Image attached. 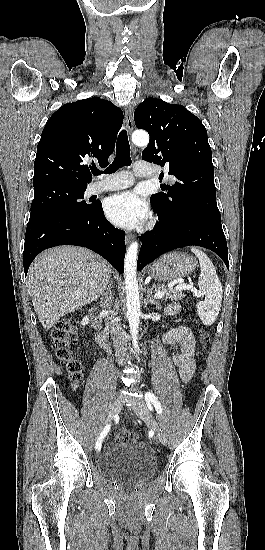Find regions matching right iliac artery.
I'll list each match as a JSON object with an SVG mask.
<instances>
[{
	"label": "right iliac artery",
	"instance_id": "right-iliac-artery-1",
	"mask_svg": "<svg viewBox=\"0 0 265 550\" xmlns=\"http://www.w3.org/2000/svg\"><path fill=\"white\" fill-rule=\"evenodd\" d=\"M109 430H110V425H106L105 428L103 429V431L101 432L100 436L98 437L96 445H95V448H96L97 451H100L102 441H103L104 437L107 435V433L109 432Z\"/></svg>",
	"mask_w": 265,
	"mask_h": 550
}]
</instances>
